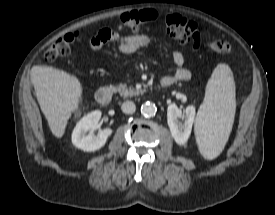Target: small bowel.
<instances>
[{"label": "small bowel", "instance_id": "obj_1", "mask_svg": "<svg viewBox=\"0 0 275 215\" xmlns=\"http://www.w3.org/2000/svg\"><path fill=\"white\" fill-rule=\"evenodd\" d=\"M121 29V26L116 28H103L97 35H95L89 43V47L92 50H96L103 46L105 43H112L120 57L127 61L131 54L150 45L154 38L147 34H135L127 37H121L117 34V31ZM201 36L198 35L194 39V49H198L200 46ZM169 47H172L170 43H166ZM172 60L177 66V69L173 75H166L161 81L169 82L170 85L176 81H187L191 77V72L184 67V57L178 50L172 52Z\"/></svg>", "mask_w": 275, "mask_h": 215}]
</instances>
